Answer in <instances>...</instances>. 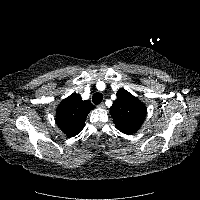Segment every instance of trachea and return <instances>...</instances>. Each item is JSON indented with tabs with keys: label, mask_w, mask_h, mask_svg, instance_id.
I'll use <instances>...</instances> for the list:
<instances>
[{
	"label": "trachea",
	"mask_w": 200,
	"mask_h": 200,
	"mask_svg": "<svg viewBox=\"0 0 200 200\" xmlns=\"http://www.w3.org/2000/svg\"><path fill=\"white\" fill-rule=\"evenodd\" d=\"M103 100V95L101 93H94L92 96V102L94 104H100Z\"/></svg>",
	"instance_id": "obj_1"
}]
</instances>
